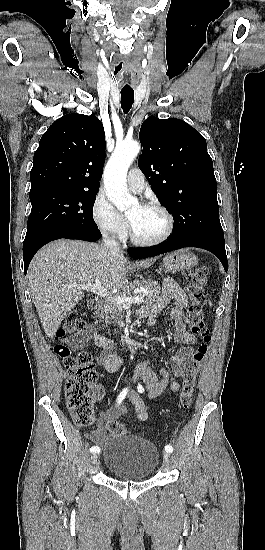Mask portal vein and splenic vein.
Instances as JSON below:
<instances>
[{
	"mask_svg": "<svg viewBox=\"0 0 265 550\" xmlns=\"http://www.w3.org/2000/svg\"><path fill=\"white\" fill-rule=\"evenodd\" d=\"M73 287H76V288H79V289H82V290L91 291V292L97 294L100 297H106L108 299L113 298L114 301L119 306H122V307H129L132 303L141 304V303L144 302V299L142 297H139V296H134V297L114 296V297H112L111 294L101 286L100 281H96L95 283L73 285Z\"/></svg>",
	"mask_w": 265,
	"mask_h": 550,
	"instance_id": "portal-vein-and-splenic-vein-1",
	"label": "portal vein and splenic vein"
}]
</instances>
